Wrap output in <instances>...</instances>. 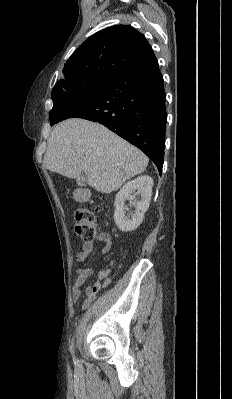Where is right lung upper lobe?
<instances>
[{
  "label": "right lung upper lobe",
  "mask_w": 232,
  "mask_h": 399,
  "mask_svg": "<svg viewBox=\"0 0 232 399\" xmlns=\"http://www.w3.org/2000/svg\"><path fill=\"white\" fill-rule=\"evenodd\" d=\"M153 54L145 36L133 27L116 25L103 29L89 37L72 54L51 95L63 92L81 78H109Z\"/></svg>",
  "instance_id": "right-lung-upper-lobe-1"
}]
</instances>
